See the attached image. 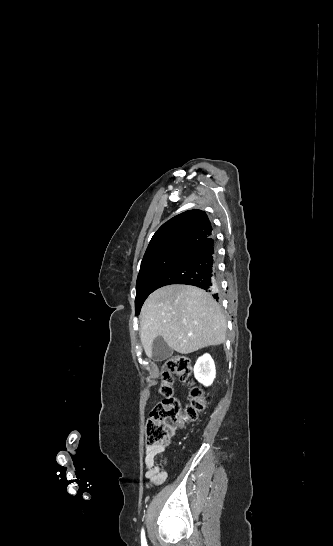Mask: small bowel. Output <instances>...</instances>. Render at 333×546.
<instances>
[{
	"mask_svg": "<svg viewBox=\"0 0 333 546\" xmlns=\"http://www.w3.org/2000/svg\"><path fill=\"white\" fill-rule=\"evenodd\" d=\"M165 452V446L163 445H148L145 448V478L149 481L150 485H161L168 477V459ZM162 454L164 457L162 464H160L157 462V457Z\"/></svg>",
	"mask_w": 333,
	"mask_h": 546,
	"instance_id": "1",
	"label": "small bowel"
}]
</instances>
